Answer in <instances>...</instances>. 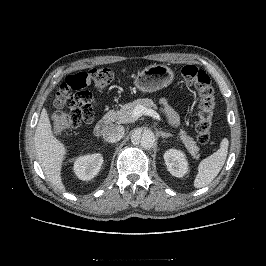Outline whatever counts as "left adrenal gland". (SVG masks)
Segmentation results:
<instances>
[{
    "instance_id": "a2214340",
    "label": "left adrenal gland",
    "mask_w": 266,
    "mask_h": 266,
    "mask_svg": "<svg viewBox=\"0 0 266 266\" xmlns=\"http://www.w3.org/2000/svg\"><path fill=\"white\" fill-rule=\"evenodd\" d=\"M159 135L162 137V138H168V137H172L173 135L171 133H166V132H163V131H158Z\"/></svg>"
}]
</instances>
